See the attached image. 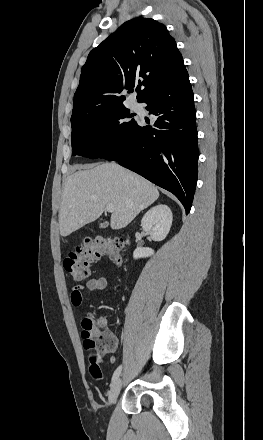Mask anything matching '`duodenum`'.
Here are the masks:
<instances>
[{
	"mask_svg": "<svg viewBox=\"0 0 263 440\" xmlns=\"http://www.w3.org/2000/svg\"><path fill=\"white\" fill-rule=\"evenodd\" d=\"M126 242L128 243V242H129V240H128V239H126Z\"/></svg>",
	"mask_w": 263,
	"mask_h": 440,
	"instance_id": "410a0bca",
	"label": "duodenum"
}]
</instances>
